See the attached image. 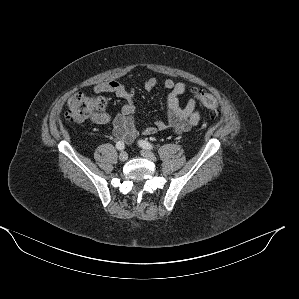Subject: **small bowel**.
<instances>
[{
  "instance_id": "obj_1",
  "label": "small bowel",
  "mask_w": 299,
  "mask_h": 299,
  "mask_svg": "<svg viewBox=\"0 0 299 299\" xmlns=\"http://www.w3.org/2000/svg\"><path fill=\"white\" fill-rule=\"evenodd\" d=\"M159 84L168 91L165 119L158 120L154 124L142 128L138 127L131 88L120 81L110 80L95 85L92 92L95 94L110 93L122 98L124 103L121 113L113 119L109 114L102 113L96 117V122L107 124L112 121L114 136L126 144H131L139 135H152L163 130L182 133L197 125L201 113L197 107L196 99L194 97L190 98L184 107H181L179 103V96L190 90L191 86L185 82H175L171 79L160 81L155 77H149L144 81V88L151 91Z\"/></svg>"
}]
</instances>
